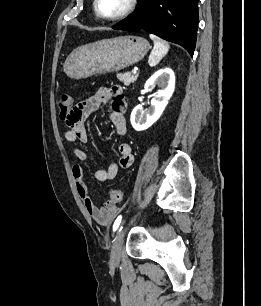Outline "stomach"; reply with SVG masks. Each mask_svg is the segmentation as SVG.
Returning a JSON list of instances; mask_svg holds the SVG:
<instances>
[{"label":"stomach","mask_w":261,"mask_h":306,"mask_svg":"<svg viewBox=\"0 0 261 306\" xmlns=\"http://www.w3.org/2000/svg\"><path fill=\"white\" fill-rule=\"evenodd\" d=\"M149 48L148 41L138 36L104 39L75 49L66 59L63 70L74 79L119 71L143 59Z\"/></svg>","instance_id":"stomach-1"}]
</instances>
